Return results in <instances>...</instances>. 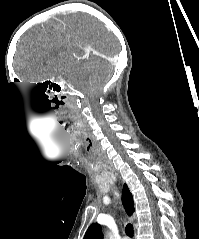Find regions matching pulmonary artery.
Listing matches in <instances>:
<instances>
[{
    "label": "pulmonary artery",
    "instance_id": "obj_1",
    "mask_svg": "<svg viewBox=\"0 0 199 239\" xmlns=\"http://www.w3.org/2000/svg\"><path fill=\"white\" fill-rule=\"evenodd\" d=\"M122 239H128V237H123Z\"/></svg>",
    "mask_w": 199,
    "mask_h": 239
}]
</instances>
